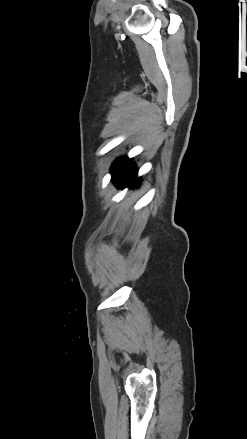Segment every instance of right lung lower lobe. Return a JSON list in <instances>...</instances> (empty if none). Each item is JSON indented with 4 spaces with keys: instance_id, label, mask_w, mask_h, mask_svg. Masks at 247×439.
Listing matches in <instances>:
<instances>
[{
    "instance_id": "obj_1",
    "label": "right lung lower lobe",
    "mask_w": 247,
    "mask_h": 439,
    "mask_svg": "<svg viewBox=\"0 0 247 439\" xmlns=\"http://www.w3.org/2000/svg\"><path fill=\"white\" fill-rule=\"evenodd\" d=\"M113 182L120 188L131 185L137 186L140 179H136L137 170L132 159L121 158L117 160L111 170Z\"/></svg>"
}]
</instances>
